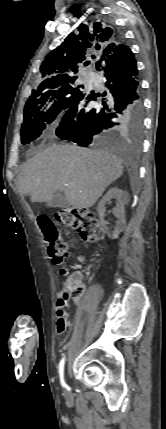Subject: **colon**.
<instances>
[{
    "instance_id": "5ec220e1",
    "label": "colon",
    "mask_w": 166,
    "mask_h": 429,
    "mask_svg": "<svg viewBox=\"0 0 166 429\" xmlns=\"http://www.w3.org/2000/svg\"><path fill=\"white\" fill-rule=\"evenodd\" d=\"M55 222L76 230L86 241L102 239L103 232L95 214L87 209L62 208L55 214ZM50 258L55 263H61L67 257V246L61 238L54 221L47 216L38 218ZM65 293H71L74 299H79L84 288L76 275H69L64 284Z\"/></svg>"
}]
</instances>
